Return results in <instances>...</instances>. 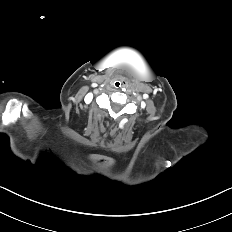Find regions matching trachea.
Listing matches in <instances>:
<instances>
[{
  "instance_id": "trachea-1",
  "label": "trachea",
  "mask_w": 232,
  "mask_h": 232,
  "mask_svg": "<svg viewBox=\"0 0 232 232\" xmlns=\"http://www.w3.org/2000/svg\"><path fill=\"white\" fill-rule=\"evenodd\" d=\"M113 86L116 89H120L122 87V82L119 81V80H116V81L113 82Z\"/></svg>"
}]
</instances>
